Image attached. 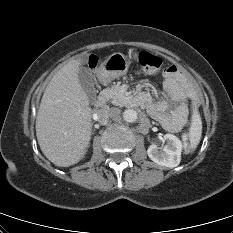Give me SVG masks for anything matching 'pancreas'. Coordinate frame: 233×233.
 <instances>
[{
    "label": "pancreas",
    "instance_id": "obj_1",
    "mask_svg": "<svg viewBox=\"0 0 233 233\" xmlns=\"http://www.w3.org/2000/svg\"><path fill=\"white\" fill-rule=\"evenodd\" d=\"M103 94L111 100L114 105L128 106L129 98L125 96L119 85H114L111 88L103 90Z\"/></svg>",
    "mask_w": 233,
    "mask_h": 233
}]
</instances>
